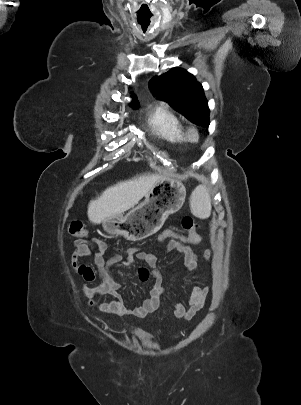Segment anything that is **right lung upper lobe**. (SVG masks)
<instances>
[{
    "label": "right lung upper lobe",
    "mask_w": 301,
    "mask_h": 405,
    "mask_svg": "<svg viewBox=\"0 0 301 405\" xmlns=\"http://www.w3.org/2000/svg\"><path fill=\"white\" fill-rule=\"evenodd\" d=\"M133 101L130 104L133 108H136L138 106V101L136 100V96L132 95Z\"/></svg>",
    "instance_id": "1"
}]
</instances>
